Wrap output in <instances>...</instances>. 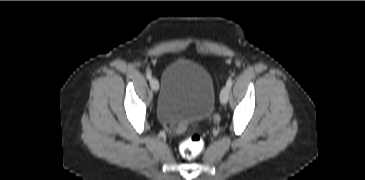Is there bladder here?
<instances>
[{"instance_id":"31cf9c89","label":"bladder","mask_w":365,"mask_h":180,"mask_svg":"<svg viewBox=\"0 0 365 180\" xmlns=\"http://www.w3.org/2000/svg\"><path fill=\"white\" fill-rule=\"evenodd\" d=\"M215 97V84L203 65L190 59L176 60L163 72L156 119L171 126L205 120L214 109Z\"/></svg>"}]
</instances>
